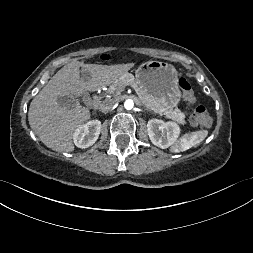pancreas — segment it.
<instances>
[{"instance_id": "obj_1", "label": "pancreas", "mask_w": 253, "mask_h": 253, "mask_svg": "<svg viewBox=\"0 0 253 253\" xmlns=\"http://www.w3.org/2000/svg\"><path fill=\"white\" fill-rule=\"evenodd\" d=\"M126 85H130L134 88L139 99L147 108L160 115H165L167 118H171L182 125L186 124L185 114L183 112L177 108L170 109L168 107H165L158 99H155L149 94L143 92L135 81L134 76L130 73L122 75L109 87L107 93L108 95L117 96L124 90Z\"/></svg>"}]
</instances>
